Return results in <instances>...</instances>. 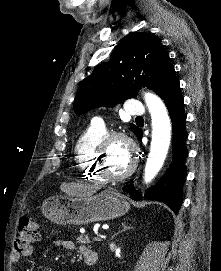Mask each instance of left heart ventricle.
I'll list each match as a JSON object with an SVG mask.
<instances>
[{"mask_svg": "<svg viewBox=\"0 0 221 271\" xmlns=\"http://www.w3.org/2000/svg\"><path fill=\"white\" fill-rule=\"evenodd\" d=\"M128 141L122 138L120 141H108L107 149H112L107 156H100L101 164H105L108 175H123L124 168H128L129 164H133V159H126L129 152L121 149V144Z\"/></svg>", "mask_w": 221, "mask_h": 271, "instance_id": "left-heart-ventricle-1", "label": "left heart ventricle"}]
</instances>
